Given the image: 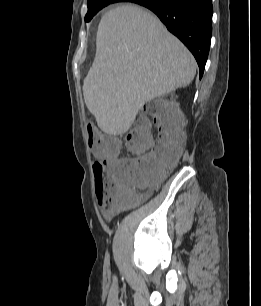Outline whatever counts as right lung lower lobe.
<instances>
[{"mask_svg": "<svg viewBox=\"0 0 261 306\" xmlns=\"http://www.w3.org/2000/svg\"><path fill=\"white\" fill-rule=\"evenodd\" d=\"M153 11L194 55L203 75L212 35V0H133Z\"/></svg>", "mask_w": 261, "mask_h": 306, "instance_id": "98d812e1", "label": "right lung lower lobe"}]
</instances>
